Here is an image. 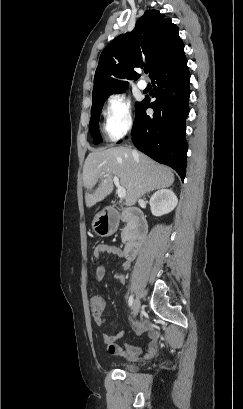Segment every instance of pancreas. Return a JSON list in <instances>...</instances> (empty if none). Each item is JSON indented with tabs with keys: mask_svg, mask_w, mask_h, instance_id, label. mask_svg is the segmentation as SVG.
Returning a JSON list of instances; mask_svg holds the SVG:
<instances>
[{
	"mask_svg": "<svg viewBox=\"0 0 243 409\" xmlns=\"http://www.w3.org/2000/svg\"><path fill=\"white\" fill-rule=\"evenodd\" d=\"M131 232H132V226L130 222H128L126 226L122 229V233H121V239L123 243H125L126 241L130 239Z\"/></svg>",
	"mask_w": 243,
	"mask_h": 409,
	"instance_id": "obj_1",
	"label": "pancreas"
}]
</instances>
